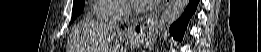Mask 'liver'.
Wrapping results in <instances>:
<instances>
[{"label":"liver","mask_w":261,"mask_h":52,"mask_svg":"<svg viewBox=\"0 0 261 52\" xmlns=\"http://www.w3.org/2000/svg\"><path fill=\"white\" fill-rule=\"evenodd\" d=\"M123 31L116 27L104 23H90L88 25V36H90V52H100L99 50H108V43L122 38ZM103 52V51H101Z\"/></svg>","instance_id":"6515ba94"}]
</instances>
